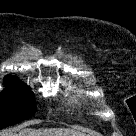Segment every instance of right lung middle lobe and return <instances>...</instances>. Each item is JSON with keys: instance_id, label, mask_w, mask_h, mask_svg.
I'll use <instances>...</instances> for the list:
<instances>
[{"instance_id": "dd1d6c3e", "label": "right lung middle lobe", "mask_w": 136, "mask_h": 136, "mask_svg": "<svg viewBox=\"0 0 136 136\" xmlns=\"http://www.w3.org/2000/svg\"><path fill=\"white\" fill-rule=\"evenodd\" d=\"M0 92V129L31 117L35 111V96L30 87L19 80L5 83Z\"/></svg>"}]
</instances>
